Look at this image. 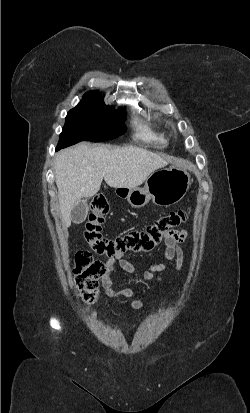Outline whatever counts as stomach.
<instances>
[{"mask_svg":"<svg viewBox=\"0 0 250 413\" xmlns=\"http://www.w3.org/2000/svg\"><path fill=\"white\" fill-rule=\"evenodd\" d=\"M190 185V175L179 164H173L168 169L153 172L143 188H115L118 196L125 197L134 208L146 206L150 200L154 204L169 207L181 201Z\"/></svg>","mask_w":250,"mask_h":413,"instance_id":"obj_1","label":"stomach"}]
</instances>
